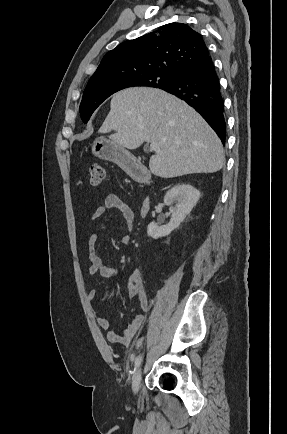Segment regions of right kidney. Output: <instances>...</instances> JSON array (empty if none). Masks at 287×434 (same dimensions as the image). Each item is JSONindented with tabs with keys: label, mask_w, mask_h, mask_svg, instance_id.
<instances>
[{
	"label": "right kidney",
	"mask_w": 287,
	"mask_h": 434,
	"mask_svg": "<svg viewBox=\"0 0 287 434\" xmlns=\"http://www.w3.org/2000/svg\"><path fill=\"white\" fill-rule=\"evenodd\" d=\"M200 198V191L190 184L183 183L174 186L164 196V203L170 207L171 219L166 225L157 226L151 222L147 227V234L155 239L169 235L174 229L178 228L186 216L190 214L193 207Z\"/></svg>",
	"instance_id": "1"
}]
</instances>
